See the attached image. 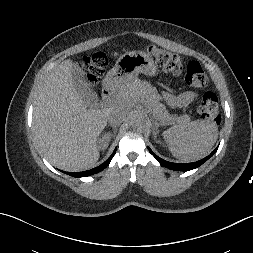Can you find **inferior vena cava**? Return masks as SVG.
Returning <instances> with one entry per match:
<instances>
[{
	"label": "inferior vena cava",
	"mask_w": 253,
	"mask_h": 253,
	"mask_svg": "<svg viewBox=\"0 0 253 253\" xmlns=\"http://www.w3.org/2000/svg\"><path fill=\"white\" fill-rule=\"evenodd\" d=\"M128 110L122 107L110 110L108 122L111 126H119L127 117Z\"/></svg>",
	"instance_id": "inferior-vena-cava-1"
}]
</instances>
